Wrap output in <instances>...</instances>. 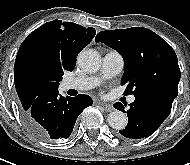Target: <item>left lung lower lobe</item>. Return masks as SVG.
I'll return each instance as SVG.
<instances>
[{"label":"left lung lower lobe","mask_w":190,"mask_h":165,"mask_svg":"<svg viewBox=\"0 0 190 165\" xmlns=\"http://www.w3.org/2000/svg\"><path fill=\"white\" fill-rule=\"evenodd\" d=\"M174 98L162 94L135 96V101L125 111L126 104L117 102L114 107L127 112L128 124L120 134L131 139H140L152 135L169 116Z\"/></svg>","instance_id":"1"}]
</instances>
